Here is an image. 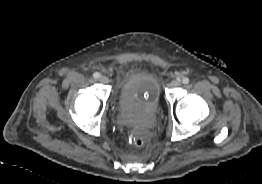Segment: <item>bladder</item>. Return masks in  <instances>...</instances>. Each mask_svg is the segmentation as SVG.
Here are the masks:
<instances>
[{"instance_id":"bladder-1","label":"bladder","mask_w":262,"mask_h":184,"mask_svg":"<svg viewBox=\"0 0 262 184\" xmlns=\"http://www.w3.org/2000/svg\"><path fill=\"white\" fill-rule=\"evenodd\" d=\"M161 86L157 76L146 69H138L124 77L118 93L119 112L129 123L138 121L133 104L140 100L154 109L160 103Z\"/></svg>"}]
</instances>
